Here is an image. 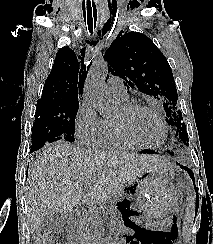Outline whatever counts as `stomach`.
<instances>
[{
    "label": "stomach",
    "instance_id": "obj_1",
    "mask_svg": "<svg viewBox=\"0 0 213 244\" xmlns=\"http://www.w3.org/2000/svg\"><path fill=\"white\" fill-rule=\"evenodd\" d=\"M130 186L149 221L166 218L177 208L178 190L162 171H151L136 177Z\"/></svg>",
    "mask_w": 213,
    "mask_h": 244
}]
</instances>
